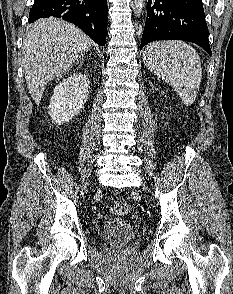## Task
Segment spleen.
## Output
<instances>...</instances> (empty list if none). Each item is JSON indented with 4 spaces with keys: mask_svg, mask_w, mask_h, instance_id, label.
I'll return each mask as SVG.
<instances>
[{
    "mask_svg": "<svg viewBox=\"0 0 233 294\" xmlns=\"http://www.w3.org/2000/svg\"><path fill=\"white\" fill-rule=\"evenodd\" d=\"M148 69L168 83L186 106L197 97L202 78L198 53L183 41H156L148 44L143 53Z\"/></svg>",
    "mask_w": 233,
    "mask_h": 294,
    "instance_id": "spleen-1",
    "label": "spleen"
}]
</instances>
